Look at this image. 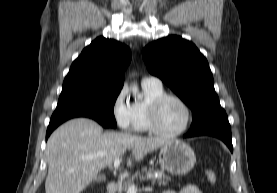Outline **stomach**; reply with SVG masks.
<instances>
[{
  "label": "stomach",
  "instance_id": "obj_1",
  "mask_svg": "<svg viewBox=\"0 0 277 193\" xmlns=\"http://www.w3.org/2000/svg\"><path fill=\"white\" fill-rule=\"evenodd\" d=\"M159 162L164 170L180 176L192 170L196 162V156L188 144L173 139L160 148Z\"/></svg>",
  "mask_w": 277,
  "mask_h": 193
}]
</instances>
